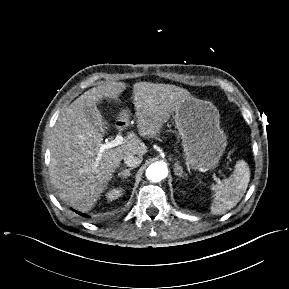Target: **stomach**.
Returning a JSON list of instances; mask_svg holds the SVG:
<instances>
[{
    "label": "stomach",
    "mask_w": 289,
    "mask_h": 289,
    "mask_svg": "<svg viewBox=\"0 0 289 289\" xmlns=\"http://www.w3.org/2000/svg\"><path fill=\"white\" fill-rule=\"evenodd\" d=\"M174 118L186 165L195 170L217 167L227 145L217 108L191 96L181 103Z\"/></svg>",
    "instance_id": "obj_1"
}]
</instances>
